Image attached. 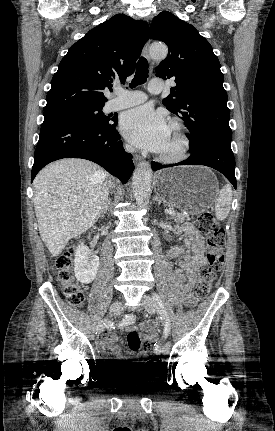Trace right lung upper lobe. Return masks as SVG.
I'll list each match as a JSON object with an SVG mask.
<instances>
[{"label":"right lung upper lobe","mask_w":275,"mask_h":431,"mask_svg":"<svg viewBox=\"0 0 275 431\" xmlns=\"http://www.w3.org/2000/svg\"><path fill=\"white\" fill-rule=\"evenodd\" d=\"M150 36L149 26L117 14L90 30L68 50L51 81L44 113L104 105L103 90L124 82Z\"/></svg>","instance_id":"obj_1"}]
</instances>
